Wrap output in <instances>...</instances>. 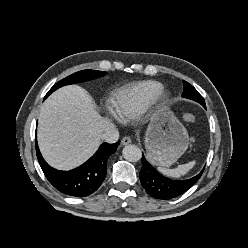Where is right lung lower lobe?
<instances>
[{
    "instance_id": "1",
    "label": "right lung lower lobe",
    "mask_w": 248,
    "mask_h": 248,
    "mask_svg": "<svg viewBox=\"0 0 248 248\" xmlns=\"http://www.w3.org/2000/svg\"><path fill=\"white\" fill-rule=\"evenodd\" d=\"M119 143H103L93 157L70 171H59L50 167L43 159L37 141L36 154L46 178L57 190L66 195L85 197L94 193L104 181L107 160L116 151Z\"/></svg>"
}]
</instances>
